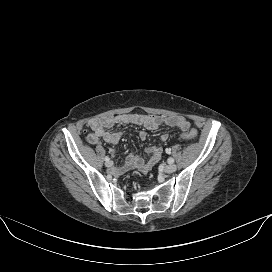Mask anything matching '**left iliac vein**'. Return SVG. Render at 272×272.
Returning <instances> with one entry per match:
<instances>
[{
	"label": "left iliac vein",
	"instance_id": "4c4485c4",
	"mask_svg": "<svg viewBox=\"0 0 272 272\" xmlns=\"http://www.w3.org/2000/svg\"><path fill=\"white\" fill-rule=\"evenodd\" d=\"M176 169H177L176 165L172 163L171 164L169 163L164 167V171L166 173H173L176 171Z\"/></svg>",
	"mask_w": 272,
	"mask_h": 272
}]
</instances>
